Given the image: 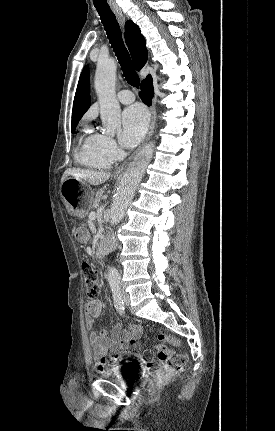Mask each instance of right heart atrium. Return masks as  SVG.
I'll return each instance as SVG.
<instances>
[{
  "mask_svg": "<svg viewBox=\"0 0 275 431\" xmlns=\"http://www.w3.org/2000/svg\"><path fill=\"white\" fill-rule=\"evenodd\" d=\"M100 149L102 153L112 161L117 160L122 154L116 141L112 137L106 135L101 136Z\"/></svg>",
  "mask_w": 275,
  "mask_h": 431,
  "instance_id": "d8ad5b80",
  "label": "right heart atrium"
}]
</instances>
